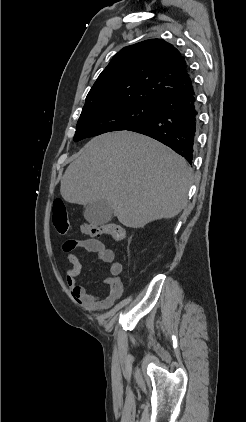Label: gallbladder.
I'll return each mask as SVG.
<instances>
[{
    "mask_svg": "<svg viewBox=\"0 0 246 422\" xmlns=\"http://www.w3.org/2000/svg\"><path fill=\"white\" fill-rule=\"evenodd\" d=\"M85 219L94 225H103L113 218V210L104 199H99L86 205Z\"/></svg>",
    "mask_w": 246,
    "mask_h": 422,
    "instance_id": "bac80fb5",
    "label": "gallbladder"
}]
</instances>
